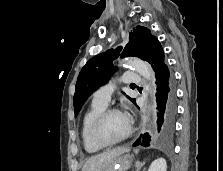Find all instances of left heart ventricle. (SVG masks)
I'll list each match as a JSON object with an SVG mask.
<instances>
[{
    "instance_id": "b2bd125f",
    "label": "left heart ventricle",
    "mask_w": 223,
    "mask_h": 171,
    "mask_svg": "<svg viewBox=\"0 0 223 171\" xmlns=\"http://www.w3.org/2000/svg\"><path fill=\"white\" fill-rule=\"evenodd\" d=\"M128 119L124 114L113 113L106 117L101 125V136L107 141H115L126 134Z\"/></svg>"
}]
</instances>
